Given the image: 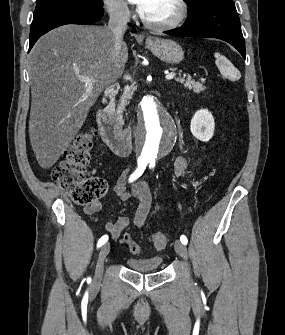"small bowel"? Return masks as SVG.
<instances>
[{
    "label": "small bowel",
    "mask_w": 285,
    "mask_h": 335,
    "mask_svg": "<svg viewBox=\"0 0 285 335\" xmlns=\"http://www.w3.org/2000/svg\"><path fill=\"white\" fill-rule=\"evenodd\" d=\"M188 167V162L185 157H179L175 161L174 171L177 176H183ZM130 175L129 170H124L120 175L114 191L121 201H128L131 198L137 200V209L133 218L134 226L140 229L151 213L152 196L148 184L144 181H137L132 185L130 191L126 189V181ZM101 209L99 201H95L90 205H86L83 211L87 215L97 213ZM130 219L127 216H120L115 221H108L105 223V230L113 237L118 238L121 233L128 227Z\"/></svg>",
    "instance_id": "obj_1"
}]
</instances>
